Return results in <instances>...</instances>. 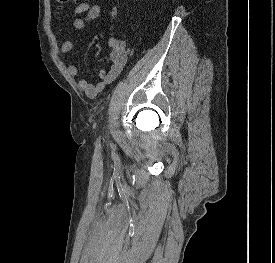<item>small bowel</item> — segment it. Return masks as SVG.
<instances>
[{
    "instance_id": "small-bowel-1",
    "label": "small bowel",
    "mask_w": 275,
    "mask_h": 263,
    "mask_svg": "<svg viewBox=\"0 0 275 263\" xmlns=\"http://www.w3.org/2000/svg\"><path fill=\"white\" fill-rule=\"evenodd\" d=\"M101 13V8L97 4L89 2L79 3L73 10L70 18L73 22V27L77 30L84 29L89 23L96 20ZM108 44L111 47L110 60L111 66L108 70L103 69L100 72L99 80L95 84H89L85 78H78L76 86L84 92L88 97L94 98L108 84L113 82L122 72L127 61V46L126 42L117 38H110ZM74 44L72 41H64L61 44V53L72 51ZM67 72L70 77L75 78L78 74V68L71 64L67 67Z\"/></svg>"
}]
</instances>
